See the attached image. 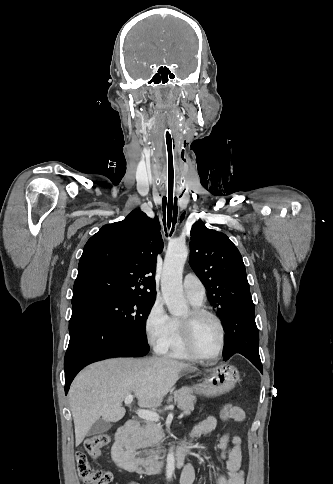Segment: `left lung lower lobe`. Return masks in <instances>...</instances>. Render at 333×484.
Listing matches in <instances>:
<instances>
[{
	"mask_svg": "<svg viewBox=\"0 0 333 484\" xmlns=\"http://www.w3.org/2000/svg\"><path fill=\"white\" fill-rule=\"evenodd\" d=\"M225 331L224 360L239 353L262 371L258 352L259 334L255 323L254 304L251 295L239 299L232 305L223 319Z\"/></svg>",
	"mask_w": 333,
	"mask_h": 484,
	"instance_id": "obj_1",
	"label": "left lung lower lobe"
}]
</instances>
